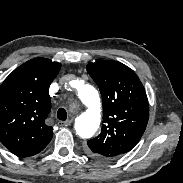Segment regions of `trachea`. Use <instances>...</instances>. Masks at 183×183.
I'll use <instances>...</instances> for the list:
<instances>
[{
	"label": "trachea",
	"instance_id": "trachea-1",
	"mask_svg": "<svg viewBox=\"0 0 183 183\" xmlns=\"http://www.w3.org/2000/svg\"><path fill=\"white\" fill-rule=\"evenodd\" d=\"M57 118L59 120H62V121H65L66 118H67V112L64 108H60L58 111H57Z\"/></svg>",
	"mask_w": 183,
	"mask_h": 183
}]
</instances>
